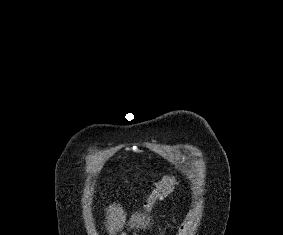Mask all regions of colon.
<instances>
[{"instance_id": "obj_1", "label": "colon", "mask_w": 283, "mask_h": 235, "mask_svg": "<svg viewBox=\"0 0 283 235\" xmlns=\"http://www.w3.org/2000/svg\"><path fill=\"white\" fill-rule=\"evenodd\" d=\"M177 184L176 177L167 176L159 181L144 200V207L150 209L157 201L170 193Z\"/></svg>"}]
</instances>
